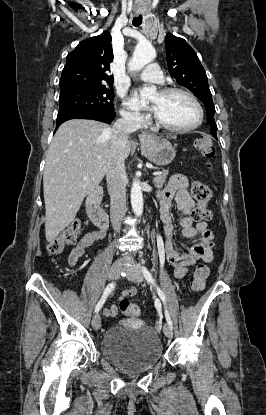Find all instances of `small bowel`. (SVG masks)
Listing matches in <instances>:
<instances>
[{
	"mask_svg": "<svg viewBox=\"0 0 266 415\" xmlns=\"http://www.w3.org/2000/svg\"><path fill=\"white\" fill-rule=\"evenodd\" d=\"M188 179L183 175H174L168 185L159 192L158 200L160 203V218L164 224L165 234V256L167 261L173 266L175 278H183L197 261L204 263L211 262L213 259V233L206 222L194 223L189 217L194 201L188 190ZM172 200H175L177 209L182 217L179 221L181 235L184 238L193 240V245L188 253L180 254L173 246L174 224L170 213ZM105 233L103 230H92L87 232L71 250L68 257V264L75 266L77 261L84 255L86 250L95 242L102 239ZM136 288H128L121 292L119 299L132 297L136 294ZM106 316H115L117 307L111 305L105 309Z\"/></svg>",
	"mask_w": 266,
	"mask_h": 415,
	"instance_id": "1",
	"label": "small bowel"
}]
</instances>
